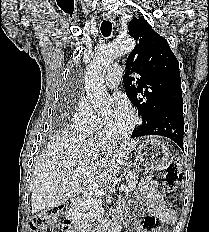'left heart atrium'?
Listing matches in <instances>:
<instances>
[{
  "label": "left heart atrium",
  "mask_w": 209,
  "mask_h": 232,
  "mask_svg": "<svg viewBox=\"0 0 209 232\" xmlns=\"http://www.w3.org/2000/svg\"><path fill=\"white\" fill-rule=\"evenodd\" d=\"M114 103V115L119 116L125 114L128 111V103L124 97L115 95L113 99Z\"/></svg>",
  "instance_id": "obj_1"
}]
</instances>
